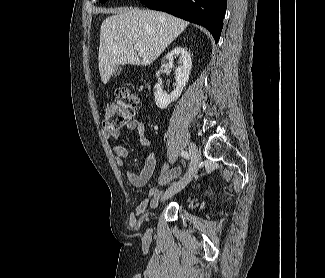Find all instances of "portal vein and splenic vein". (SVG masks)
<instances>
[{
  "label": "portal vein and splenic vein",
  "mask_w": 325,
  "mask_h": 278,
  "mask_svg": "<svg viewBox=\"0 0 325 278\" xmlns=\"http://www.w3.org/2000/svg\"><path fill=\"white\" fill-rule=\"evenodd\" d=\"M134 48L137 50H141L142 46H141V44H136V45H134Z\"/></svg>",
  "instance_id": "portal-vein-and-splenic-vein-1"
}]
</instances>
